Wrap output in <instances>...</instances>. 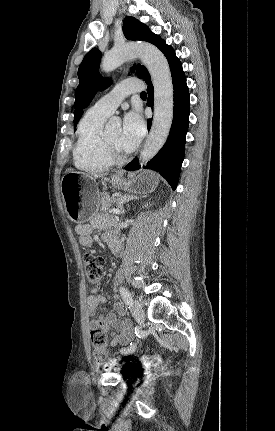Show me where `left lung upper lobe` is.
Listing matches in <instances>:
<instances>
[{
    "label": "left lung upper lobe",
    "mask_w": 275,
    "mask_h": 431,
    "mask_svg": "<svg viewBox=\"0 0 275 431\" xmlns=\"http://www.w3.org/2000/svg\"><path fill=\"white\" fill-rule=\"evenodd\" d=\"M123 32L127 39L147 41L157 46L165 55L170 46H168L158 35L152 33L148 27L133 17H126L123 21ZM102 54L97 48L90 50L84 57L79 69V85L75 92L74 103V129L81 117L83 111L92 101L98 90H103L110 86V79H104L99 74V64ZM137 70V75L145 81L150 79L147 69L140 64L134 65L131 72Z\"/></svg>",
    "instance_id": "left-lung-upper-lobe-1"
}]
</instances>
